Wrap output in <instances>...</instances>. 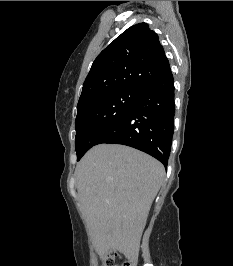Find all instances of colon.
Wrapping results in <instances>:
<instances>
[{"label":"colon","mask_w":233,"mask_h":266,"mask_svg":"<svg viewBox=\"0 0 233 266\" xmlns=\"http://www.w3.org/2000/svg\"><path fill=\"white\" fill-rule=\"evenodd\" d=\"M102 266H115V257L114 255L108 254L101 258ZM120 266H135V260L133 258H130L126 261H124Z\"/></svg>","instance_id":"obj_1"}]
</instances>
